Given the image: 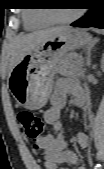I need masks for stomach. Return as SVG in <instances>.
<instances>
[{"mask_svg":"<svg viewBox=\"0 0 104 169\" xmlns=\"http://www.w3.org/2000/svg\"><path fill=\"white\" fill-rule=\"evenodd\" d=\"M86 31L72 29L46 41L40 48L26 54L9 75L8 86L17 104L30 110L43 107L52 92L58 64L67 52L90 43Z\"/></svg>","mask_w":104,"mask_h":169,"instance_id":"stomach-1","label":"stomach"}]
</instances>
